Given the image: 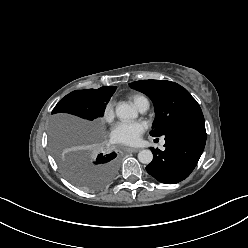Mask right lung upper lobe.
Masks as SVG:
<instances>
[{
	"label": "right lung upper lobe",
	"instance_id": "cb5924a9",
	"mask_svg": "<svg viewBox=\"0 0 248 248\" xmlns=\"http://www.w3.org/2000/svg\"><path fill=\"white\" fill-rule=\"evenodd\" d=\"M105 87H108V86H105ZM109 87H114V88H117L116 86H109Z\"/></svg>",
	"mask_w": 248,
	"mask_h": 248
}]
</instances>
